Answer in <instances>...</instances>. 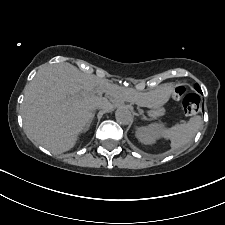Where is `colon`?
<instances>
[{
    "label": "colon",
    "instance_id": "colon-1",
    "mask_svg": "<svg viewBox=\"0 0 225 225\" xmlns=\"http://www.w3.org/2000/svg\"><path fill=\"white\" fill-rule=\"evenodd\" d=\"M187 87L185 84H176L172 90V96L180 100L181 110L187 115H196L201 110V101L197 95H186Z\"/></svg>",
    "mask_w": 225,
    "mask_h": 225
}]
</instances>
